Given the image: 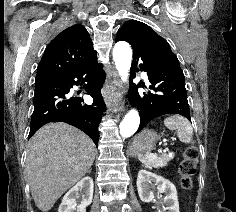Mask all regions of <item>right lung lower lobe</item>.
<instances>
[{
	"instance_id": "1",
	"label": "right lung lower lobe",
	"mask_w": 236,
	"mask_h": 212,
	"mask_svg": "<svg viewBox=\"0 0 236 212\" xmlns=\"http://www.w3.org/2000/svg\"><path fill=\"white\" fill-rule=\"evenodd\" d=\"M102 64L97 58L68 75H50L36 78L31 118L30 138L40 127L49 122H66L85 132L97 145L98 126L106 110L100 92L105 80ZM74 85H83L92 96V105H86L80 97L71 96Z\"/></svg>"
}]
</instances>
